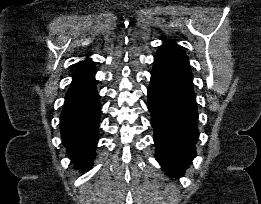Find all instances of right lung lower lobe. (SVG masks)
<instances>
[{
  "mask_svg": "<svg viewBox=\"0 0 261 204\" xmlns=\"http://www.w3.org/2000/svg\"><path fill=\"white\" fill-rule=\"evenodd\" d=\"M95 72L90 59L78 65L60 116L62 140L75 166L82 171L92 166L98 141L100 104Z\"/></svg>",
  "mask_w": 261,
  "mask_h": 204,
  "instance_id": "1",
  "label": "right lung lower lobe"
}]
</instances>
